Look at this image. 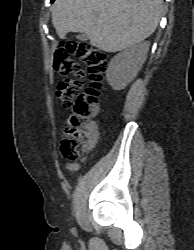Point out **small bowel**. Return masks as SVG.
Wrapping results in <instances>:
<instances>
[{
	"instance_id": "1",
	"label": "small bowel",
	"mask_w": 194,
	"mask_h": 250,
	"mask_svg": "<svg viewBox=\"0 0 194 250\" xmlns=\"http://www.w3.org/2000/svg\"><path fill=\"white\" fill-rule=\"evenodd\" d=\"M88 127H89V131H90V138H89V143H88V148H92L96 142H97V139H98V126L95 122H90L88 124ZM70 169L71 170H77L78 169V165L77 164H72L70 165Z\"/></svg>"
}]
</instances>
